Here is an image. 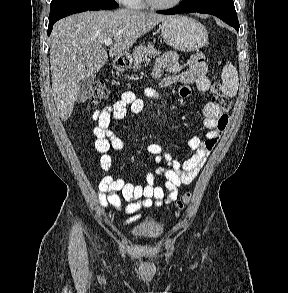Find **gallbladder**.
<instances>
[{
    "label": "gallbladder",
    "instance_id": "gallbladder-1",
    "mask_svg": "<svg viewBox=\"0 0 288 293\" xmlns=\"http://www.w3.org/2000/svg\"><path fill=\"white\" fill-rule=\"evenodd\" d=\"M95 77L96 75L93 74L82 80L81 86L78 92V99H77L78 103L85 102L88 99L91 93V89H92Z\"/></svg>",
    "mask_w": 288,
    "mask_h": 293
}]
</instances>
